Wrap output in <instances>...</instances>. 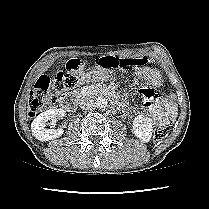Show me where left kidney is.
I'll list each match as a JSON object with an SVG mask.
<instances>
[{"instance_id":"left-kidney-1","label":"left kidney","mask_w":209,"mask_h":209,"mask_svg":"<svg viewBox=\"0 0 209 209\" xmlns=\"http://www.w3.org/2000/svg\"><path fill=\"white\" fill-rule=\"evenodd\" d=\"M133 132L143 142L150 141L153 133L151 119L145 115H138L133 120Z\"/></svg>"}]
</instances>
